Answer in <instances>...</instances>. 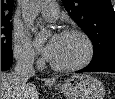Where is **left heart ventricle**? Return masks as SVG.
<instances>
[{
	"instance_id": "obj_1",
	"label": "left heart ventricle",
	"mask_w": 115,
	"mask_h": 99,
	"mask_svg": "<svg viewBox=\"0 0 115 99\" xmlns=\"http://www.w3.org/2000/svg\"><path fill=\"white\" fill-rule=\"evenodd\" d=\"M86 52L83 40L75 35H61L50 59L59 65H69L80 61Z\"/></svg>"
}]
</instances>
